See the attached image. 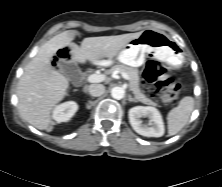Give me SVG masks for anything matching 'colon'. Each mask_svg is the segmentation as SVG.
I'll return each instance as SVG.
<instances>
[{
  "label": "colon",
  "instance_id": "1",
  "mask_svg": "<svg viewBox=\"0 0 222 187\" xmlns=\"http://www.w3.org/2000/svg\"><path fill=\"white\" fill-rule=\"evenodd\" d=\"M70 51L62 49L58 52L53 67L59 69L62 63L69 61ZM143 78L146 82L155 85V92L159 94L166 103L174 102L179 94V85L169 76L167 71L159 62L149 61L143 71Z\"/></svg>",
  "mask_w": 222,
  "mask_h": 187
}]
</instances>
